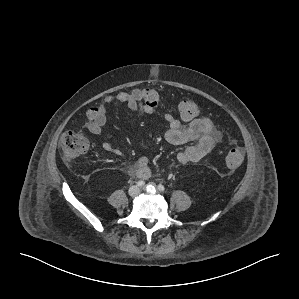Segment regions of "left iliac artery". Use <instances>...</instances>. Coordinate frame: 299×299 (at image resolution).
<instances>
[{"instance_id":"1","label":"left iliac artery","mask_w":299,"mask_h":299,"mask_svg":"<svg viewBox=\"0 0 299 299\" xmlns=\"http://www.w3.org/2000/svg\"><path fill=\"white\" fill-rule=\"evenodd\" d=\"M158 190L161 191V192H164L165 191V187L162 184H159L158 185ZM147 191L153 192V189L151 188V185H148Z\"/></svg>"}]
</instances>
